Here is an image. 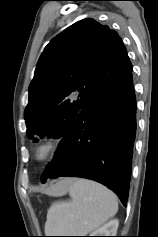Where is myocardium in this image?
<instances>
[{"label":"myocardium","instance_id":"obj_1","mask_svg":"<svg viewBox=\"0 0 158 237\" xmlns=\"http://www.w3.org/2000/svg\"><path fill=\"white\" fill-rule=\"evenodd\" d=\"M58 144L52 138L41 139L33 150L34 160L37 162H45L50 159L57 151Z\"/></svg>","mask_w":158,"mask_h":237}]
</instances>
